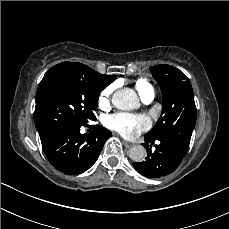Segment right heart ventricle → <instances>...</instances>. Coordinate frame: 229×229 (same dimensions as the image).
<instances>
[{
  "mask_svg": "<svg viewBox=\"0 0 229 229\" xmlns=\"http://www.w3.org/2000/svg\"><path fill=\"white\" fill-rule=\"evenodd\" d=\"M135 88L142 98L148 94H154L152 85L144 78H139L136 80Z\"/></svg>",
  "mask_w": 229,
  "mask_h": 229,
  "instance_id": "obj_1",
  "label": "right heart ventricle"
}]
</instances>
